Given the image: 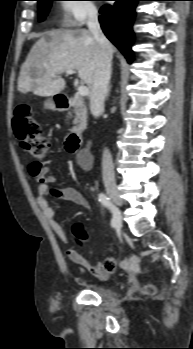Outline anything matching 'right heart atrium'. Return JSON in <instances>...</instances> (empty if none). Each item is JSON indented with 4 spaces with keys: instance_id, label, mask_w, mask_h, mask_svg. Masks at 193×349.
<instances>
[{
    "instance_id": "1",
    "label": "right heart atrium",
    "mask_w": 193,
    "mask_h": 349,
    "mask_svg": "<svg viewBox=\"0 0 193 349\" xmlns=\"http://www.w3.org/2000/svg\"><path fill=\"white\" fill-rule=\"evenodd\" d=\"M61 9L62 22L71 27L81 26L97 14V9L90 0H64Z\"/></svg>"
}]
</instances>
